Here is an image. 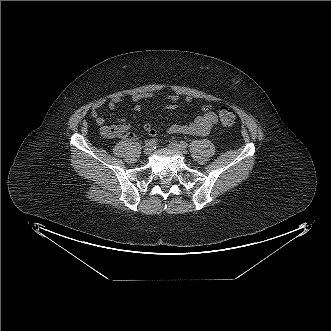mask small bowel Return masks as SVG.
<instances>
[{
  "instance_id": "1",
  "label": "small bowel",
  "mask_w": 331,
  "mask_h": 331,
  "mask_svg": "<svg viewBox=\"0 0 331 331\" xmlns=\"http://www.w3.org/2000/svg\"><path fill=\"white\" fill-rule=\"evenodd\" d=\"M154 97L152 92H139L131 96V100L135 103L134 110L136 112H142L143 106L140 104L142 100L150 99ZM162 101L166 103L167 109H178L183 107L186 103H191L195 99L191 96H186L181 99L177 94H165L161 96ZM122 102L120 96H115L110 99L98 100L92 110V117L95 123L100 127L101 134L108 138H124L128 141L137 140V136L131 132V124L126 122L124 119L119 118L113 125L105 124V120L98 114V109L106 107L109 110H113L116 105ZM217 123V116L212 111L210 104H203L201 106V114L198 115L192 122L188 124H172L167 127V134H185L194 136H205L207 135L212 127ZM144 130L148 135L155 137L157 130L151 123L144 125Z\"/></svg>"
}]
</instances>
